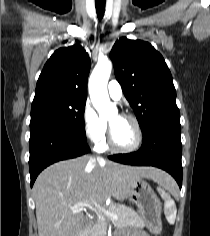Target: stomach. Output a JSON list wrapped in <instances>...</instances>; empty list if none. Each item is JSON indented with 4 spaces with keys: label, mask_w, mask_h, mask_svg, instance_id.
I'll return each instance as SVG.
<instances>
[{
    "label": "stomach",
    "mask_w": 210,
    "mask_h": 236,
    "mask_svg": "<svg viewBox=\"0 0 210 236\" xmlns=\"http://www.w3.org/2000/svg\"><path fill=\"white\" fill-rule=\"evenodd\" d=\"M127 198L138 207L148 230L160 234L162 206L150 185L142 179L134 181Z\"/></svg>",
    "instance_id": "stomach-1"
}]
</instances>
